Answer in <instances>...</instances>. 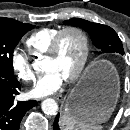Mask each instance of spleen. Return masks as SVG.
I'll return each instance as SVG.
<instances>
[{
  "mask_svg": "<svg viewBox=\"0 0 130 130\" xmlns=\"http://www.w3.org/2000/svg\"><path fill=\"white\" fill-rule=\"evenodd\" d=\"M61 128L62 130H101L102 126L99 124L89 125L64 114L61 118Z\"/></svg>",
  "mask_w": 130,
  "mask_h": 130,
  "instance_id": "1",
  "label": "spleen"
}]
</instances>
